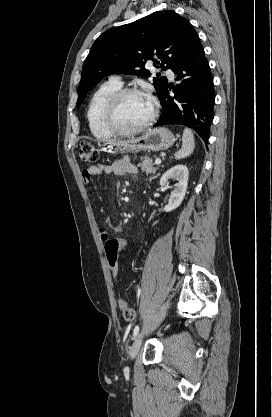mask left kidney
I'll use <instances>...</instances> for the list:
<instances>
[{
  "label": "left kidney",
  "mask_w": 272,
  "mask_h": 417,
  "mask_svg": "<svg viewBox=\"0 0 272 417\" xmlns=\"http://www.w3.org/2000/svg\"><path fill=\"white\" fill-rule=\"evenodd\" d=\"M188 176V168L185 165H176L162 175L160 179L162 187L169 188V180H177L175 188L171 192L168 205L163 209L165 212H171L181 205L187 190Z\"/></svg>",
  "instance_id": "left-kidney-1"
}]
</instances>
